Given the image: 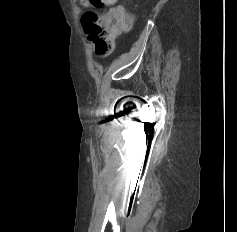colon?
<instances>
[{"label": "colon", "mask_w": 237, "mask_h": 232, "mask_svg": "<svg viewBox=\"0 0 237 232\" xmlns=\"http://www.w3.org/2000/svg\"><path fill=\"white\" fill-rule=\"evenodd\" d=\"M115 2L116 0H84V4L90 8L82 15V25L99 56L110 55L118 34L133 25V17L120 6L111 8L104 14L92 9L113 5Z\"/></svg>", "instance_id": "obj_1"}]
</instances>
